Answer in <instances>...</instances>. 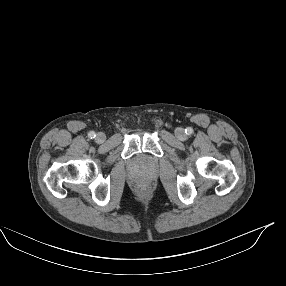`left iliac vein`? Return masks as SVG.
I'll use <instances>...</instances> for the list:
<instances>
[{
	"label": "left iliac vein",
	"instance_id": "4c4485c4",
	"mask_svg": "<svg viewBox=\"0 0 286 286\" xmlns=\"http://www.w3.org/2000/svg\"><path fill=\"white\" fill-rule=\"evenodd\" d=\"M176 136L180 140H184L186 138L185 133L182 129H177L176 130Z\"/></svg>",
	"mask_w": 286,
	"mask_h": 286
}]
</instances>
